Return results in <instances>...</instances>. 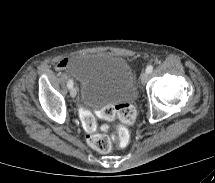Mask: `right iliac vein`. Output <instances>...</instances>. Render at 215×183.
<instances>
[{"instance_id":"63e3f726","label":"right iliac vein","mask_w":215,"mask_h":183,"mask_svg":"<svg viewBox=\"0 0 215 183\" xmlns=\"http://www.w3.org/2000/svg\"><path fill=\"white\" fill-rule=\"evenodd\" d=\"M76 94H77L76 88L72 87V88L70 89V96H71L72 98H75V97H76Z\"/></svg>"}]
</instances>
